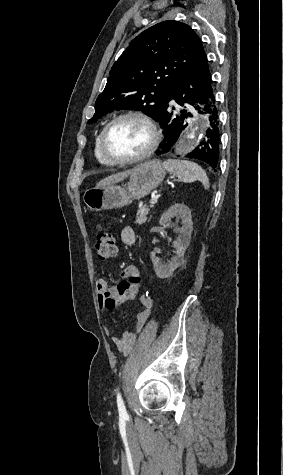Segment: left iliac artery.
<instances>
[{
	"instance_id": "left-iliac-artery-1",
	"label": "left iliac artery",
	"mask_w": 283,
	"mask_h": 475,
	"mask_svg": "<svg viewBox=\"0 0 283 475\" xmlns=\"http://www.w3.org/2000/svg\"><path fill=\"white\" fill-rule=\"evenodd\" d=\"M117 405H118L119 415L120 416H127L126 408L124 406V402H123V399H122L120 393H118V395H117Z\"/></svg>"
}]
</instances>
